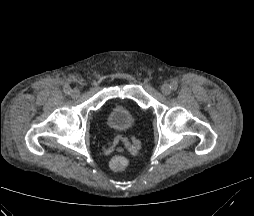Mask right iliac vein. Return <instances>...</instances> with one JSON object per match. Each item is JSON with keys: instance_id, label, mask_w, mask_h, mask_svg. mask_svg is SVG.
Returning a JSON list of instances; mask_svg holds the SVG:
<instances>
[{"instance_id": "1", "label": "right iliac vein", "mask_w": 254, "mask_h": 216, "mask_svg": "<svg viewBox=\"0 0 254 216\" xmlns=\"http://www.w3.org/2000/svg\"><path fill=\"white\" fill-rule=\"evenodd\" d=\"M79 90L77 88H74L72 91H71V97L72 98H77L79 96Z\"/></svg>"}]
</instances>
